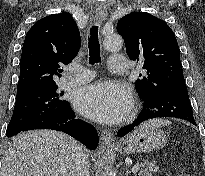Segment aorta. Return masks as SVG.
<instances>
[{"mask_svg": "<svg viewBox=\"0 0 205 176\" xmlns=\"http://www.w3.org/2000/svg\"><path fill=\"white\" fill-rule=\"evenodd\" d=\"M123 40L118 34H111L105 37L103 41L104 49L114 51L121 48Z\"/></svg>", "mask_w": 205, "mask_h": 176, "instance_id": "1", "label": "aorta"}]
</instances>
